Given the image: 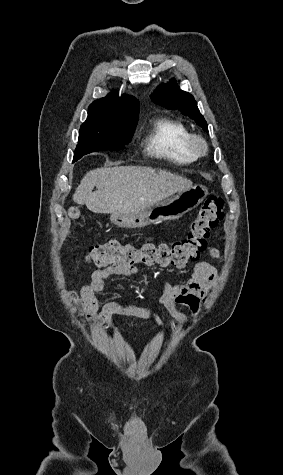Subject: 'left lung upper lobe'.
Returning a JSON list of instances; mask_svg holds the SVG:
<instances>
[{"label":"left lung upper lobe","instance_id":"obj_1","mask_svg":"<svg viewBox=\"0 0 283 475\" xmlns=\"http://www.w3.org/2000/svg\"><path fill=\"white\" fill-rule=\"evenodd\" d=\"M151 99L167 109L180 110L182 114L189 116L208 132L207 123L199 112L194 97L186 91L179 89L176 81L170 80L166 85H161L150 96Z\"/></svg>","mask_w":283,"mask_h":475}]
</instances>
